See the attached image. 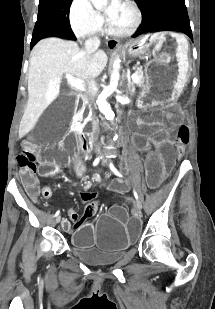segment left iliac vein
<instances>
[{
    "label": "left iliac vein",
    "mask_w": 215,
    "mask_h": 309,
    "mask_svg": "<svg viewBox=\"0 0 215 309\" xmlns=\"http://www.w3.org/2000/svg\"><path fill=\"white\" fill-rule=\"evenodd\" d=\"M104 163H105V162H104ZM134 210H135L136 213H137V212L140 213V212H141V206H140V204L137 203V206L135 207Z\"/></svg>",
    "instance_id": "4c4485c4"
}]
</instances>
